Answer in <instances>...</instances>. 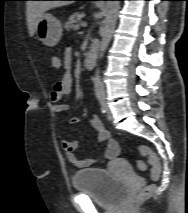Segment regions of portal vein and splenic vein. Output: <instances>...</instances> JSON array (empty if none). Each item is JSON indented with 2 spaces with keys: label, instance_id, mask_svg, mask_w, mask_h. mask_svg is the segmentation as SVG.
Returning a JSON list of instances; mask_svg holds the SVG:
<instances>
[{
  "label": "portal vein and splenic vein",
  "instance_id": "obj_1",
  "mask_svg": "<svg viewBox=\"0 0 188 213\" xmlns=\"http://www.w3.org/2000/svg\"><path fill=\"white\" fill-rule=\"evenodd\" d=\"M81 26H82V27H86V26H87V23H86V22H82V23H81Z\"/></svg>",
  "mask_w": 188,
  "mask_h": 213
}]
</instances>
